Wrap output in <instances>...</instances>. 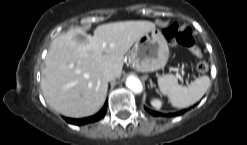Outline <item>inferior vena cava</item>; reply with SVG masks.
Returning <instances> with one entry per match:
<instances>
[{
	"instance_id": "obj_1",
	"label": "inferior vena cava",
	"mask_w": 247,
	"mask_h": 145,
	"mask_svg": "<svg viewBox=\"0 0 247 145\" xmlns=\"http://www.w3.org/2000/svg\"><path fill=\"white\" fill-rule=\"evenodd\" d=\"M102 75H103L104 79L107 81H111V80L115 79L114 72L108 68L103 70Z\"/></svg>"
}]
</instances>
